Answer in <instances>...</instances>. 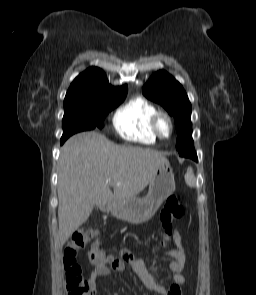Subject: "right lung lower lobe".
<instances>
[{
	"instance_id": "98d812e1",
	"label": "right lung lower lobe",
	"mask_w": 256,
	"mask_h": 295,
	"mask_svg": "<svg viewBox=\"0 0 256 295\" xmlns=\"http://www.w3.org/2000/svg\"><path fill=\"white\" fill-rule=\"evenodd\" d=\"M64 141H65V140H62V139H61V144H63V143H64Z\"/></svg>"
}]
</instances>
